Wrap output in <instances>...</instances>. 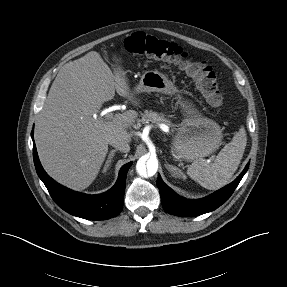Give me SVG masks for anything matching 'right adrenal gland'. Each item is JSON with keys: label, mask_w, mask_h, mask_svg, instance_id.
<instances>
[{"label": "right adrenal gland", "mask_w": 287, "mask_h": 287, "mask_svg": "<svg viewBox=\"0 0 287 287\" xmlns=\"http://www.w3.org/2000/svg\"><path fill=\"white\" fill-rule=\"evenodd\" d=\"M116 151H117V150H111V151H110V153H109V155H108V158H107V160H106V162H105L104 168H103V170H102L103 173H105V172L110 168L111 163H112V161H113V158H114V156H115Z\"/></svg>", "instance_id": "2a0ac1e0"}]
</instances>
